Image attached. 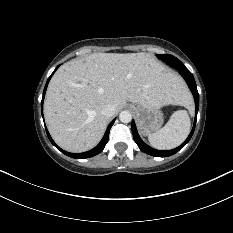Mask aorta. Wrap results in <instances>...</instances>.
Wrapping results in <instances>:
<instances>
[{
  "label": "aorta",
  "mask_w": 233,
  "mask_h": 233,
  "mask_svg": "<svg viewBox=\"0 0 233 233\" xmlns=\"http://www.w3.org/2000/svg\"><path fill=\"white\" fill-rule=\"evenodd\" d=\"M119 119L122 123H129L132 120V115L129 111H122L119 115Z\"/></svg>",
  "instance_id": "1"
}]
</instances>
